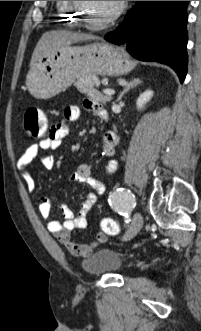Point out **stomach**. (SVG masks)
<instances>
[{
  "instance_id": "stomach-1",
  "label": "stomach",
  "mask_w": 201,
  "mask_h": 331,
  "mask_svg": "<svg viewBox=\"0 0 201 331\" xmlns=\"http://www.w3.org/2000/svg\"><path fill=\"white\" fill-rule=\"evenodd\" d=\"M124 50L106 42L84 46H62L39 60L27 75L30 93L49 99L66 90L80 77L90 74L121 76L134 69Z\"/></svg>"
}]
</instances>
